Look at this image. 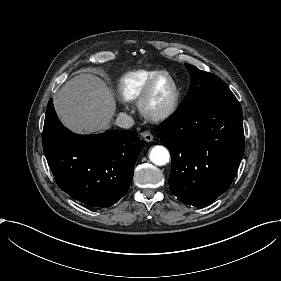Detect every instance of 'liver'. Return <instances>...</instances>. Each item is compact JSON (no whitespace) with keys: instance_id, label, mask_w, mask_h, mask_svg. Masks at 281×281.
<instances>
[{"instance_id":"1","label":"liver","mask_w":281,"mask_h":281,"mask_svg":"<svg viewBox=\"0 0 281 281\" xmlns=\"http://www.w3.org/2000/svg\"><path fill=\"white\" fill-rule=\"evenodd\" d=\"M54 106L67 128L84 134L107 130L116 110L111 88L90 73L66 82L54 96Z\"/></svg>"}]
</instances>
